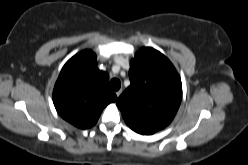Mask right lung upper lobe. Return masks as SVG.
<instances>
[{
	"label": "right lung upper lobe",
	"mask_w": 248,
	"mask_h": 165,
	"mask_svg": "<svg viewBox=\"0 0 248 165\" xmlns=\"http://www.w3.org/2000/svg\"><path fill=\"white\" fill-rule=\"evenodd\" d=\"M109 75L100 71L96 55L84 50L62 68L53 91V102L59 115L74 126H94L103 109L117 99L108 87Z\"/></svg>",
	"instance_id": "obj_1"
}]
</instances>
